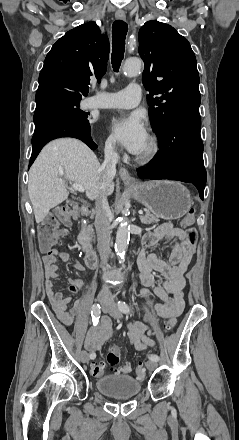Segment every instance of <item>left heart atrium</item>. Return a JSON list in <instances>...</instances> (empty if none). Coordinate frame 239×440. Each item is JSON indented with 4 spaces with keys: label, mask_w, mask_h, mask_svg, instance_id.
<instances>
[{
    "label": "left heart atrium",
    "mask_w": 239,
    "mask_h": 440,
    "mask_svg": "<svg viewBox=\"0 0 239 440\" xmlns=\"http://www.w3.org/2000/svg\"><path fill=\"white\" fill-rule=\"evenodd\" d=\"M111 137L133 154L142 152L148 133L144 120L139 113L120 114L110 117L107 121Z\"/></svg>",
    "instance_id": "39dd6f15"
}]
</instances>
